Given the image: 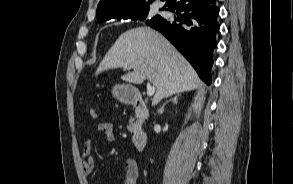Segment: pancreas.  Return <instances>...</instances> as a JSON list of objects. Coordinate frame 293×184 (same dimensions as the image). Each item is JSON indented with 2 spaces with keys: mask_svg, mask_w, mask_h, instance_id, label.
Returning <instances> with one entry per match:
<instances>
[{
  "mask_svg": "<svg viewBox=\"0 0 293 184\" xmlns=\"http://www.w3.org/2000/svg\"><path fill=\"white\" fill-rule=\"evenodd\" d=\"M127 128H128V131H129V132H131V133L134 132V130H135L134 119H131V120H130L129 125H128Z\"/></svg>",
  "mask_w": 293,
  "mask_h": 184,
  "instance_id": "pancreas-1",
  "label": "pancreas"
}]
</instances>
